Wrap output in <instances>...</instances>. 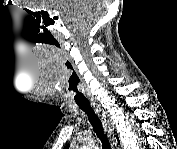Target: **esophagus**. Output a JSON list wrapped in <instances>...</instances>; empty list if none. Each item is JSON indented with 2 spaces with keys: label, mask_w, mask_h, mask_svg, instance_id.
<instances>
[{
  "label": "esophagus",
  "mask_w": 177,
  "mask_h": 149,
  "mask_svg": "<svg viewBox=\"0 0 177 149\" xmlns=\"http://www.w3.org/2000/svg\"><path fill=\"white\" fill-rule=\"evenodd\" d=\"M92 107L97 112L98 116L101 118V122L103 124L105 133L107 134V137L111 143V146L114 148L117 146V141L114 137V121L112 119L108 118L107 113L103 109L100 103L98 102H91Z\"/></svg>",
  "instance_id": "esophagus-1"
}]
</instances>
